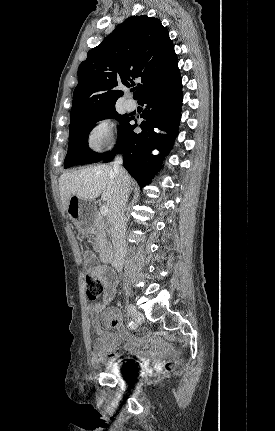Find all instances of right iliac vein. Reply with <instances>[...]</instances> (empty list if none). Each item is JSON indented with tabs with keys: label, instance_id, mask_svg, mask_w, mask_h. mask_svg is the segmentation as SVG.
Returning <instances> with one entry per match:
<instances>
[{
	"label": "right iliac vein",
	"instance_id": "63e3f726",
	"mask_svg": "<svg viewBox=\"0 0 275 431\" xmlns=\"http://www.w3.org/2000/svg\"><path fill=\"white\" fill-rule=\"evenodd\" d=\"M128 312L129 315L132 317V319L137 320L140 318L141 313L137 310V308L134 305L128 306Z\"/></svg>",
	"mask_w": 275,
	"mask_h": 431
}]
</instances>
